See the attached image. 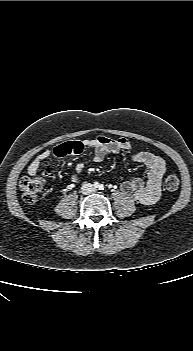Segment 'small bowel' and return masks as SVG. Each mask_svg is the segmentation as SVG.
Instances as JSON below:
<instances>
[{"label": "small bowel", "instance_id": "small-bowel-1", "mask_svg": "<svg viewBox=\"0 0 193 351\" xmlns=\"http://www.w3.org/2000/svg\"><path fill=\"white\" fill-rule=\"evenodd\" d=\"M87 149L93 150V161L101 162L109 154L130 150L131 143L123 137L113 139L106 136L59 143L51 151L47 149L38 154L28 165L27 172L31 176L36 175L41 167V163L50 156L54 161H61L67 157L79 156ZM132 160L147 168L146 179L134 178L125 181L121 185V190L125 194L132 195L141 203L148 205L154 204L161 194V180L167 169L166 162L161 157L146 151L134 153ZM84 167L85 162L80 161L77 163L76 172L72 176L73 182L81 180ZM45 173L50 178L54 177V170L50 166L45 167Z\"/></svg>", "mask_w": 193, "mask_h": 351}]
</instances>
